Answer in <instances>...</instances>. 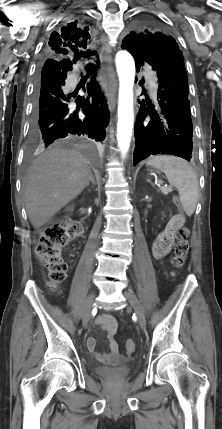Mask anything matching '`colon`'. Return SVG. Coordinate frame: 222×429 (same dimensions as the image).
I'll use <instances>...</instances> for the list:
<instances>
[{
  "label": "colon",
  "instance_id": "1",
  "mask_svg": "<svg viewBox=\"0 0 222 429\" xmlns=\"http://www.w3.org/2000/svg\"><path fill=\"white\" fill-rule=\"evenodd\" d=\"M177 208L182 211L178 197L173 199ZM183 218L184 216L180 214ZM81 224L71 218H64L61 221L48 227L40 236L36 246V253L49 273V284L52 289L64 281L67 274V263L62 257V249L79 234ZM189 231L181 226L177 231V241L174 246V256L172 263L175 268L180 269L185 265L187 253ZM125 348L128 353L135 351L136 345L133 340H127Z\"/></svg>",
  "mask_w": 222,
  "mask_h": 429
}]
</instances>
